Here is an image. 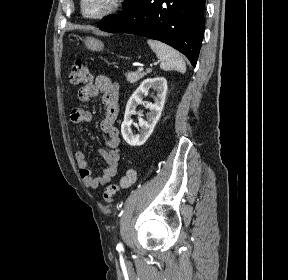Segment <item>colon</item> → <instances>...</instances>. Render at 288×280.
I'll list each match as a JSON object with an SVG mask.
<instances>
[{
	"label": "colon",
	"instance_id": "5ec220e1",
	"mask_svg": "<svg viewBox=\"0 0 288 280\" xmlns=\"http://www.w3.org/2000/svg\"><path fill=\"white\" fill-rule=\"evenodd\" d=\"M69 79L73 84H90L91 75L88 68L82 63L81 60L76 59L73 61L69 68ZM137 180V172L134 169H128L125 175L121 178L119 183L111 184L104 190L103 197L107 203L114 201L115 195L123 189L130 188Z\"/></svg>",
	"mask_w": 288,
	"mask_h": 280
}]
</instances>
